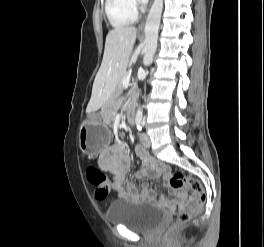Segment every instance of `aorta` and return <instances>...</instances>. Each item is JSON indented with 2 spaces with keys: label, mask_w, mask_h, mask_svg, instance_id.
<instances>
[{
  "label": "aorta",
  "mask_w": 264,
  "mask_h": 247,
  "mask_svg": "<svg viewBox=\"0 0 264 247\" xmlns=\"http://www.w3.org/2000/svg\"><path fill=\"white\" fill-rule=\"evenodd\" d=\"M163 12V0H154L145 24V46L143 49V64L149 66L153 61V56L157 48L158 30ZM143 112L141 107L136 112V120H141Z\"/></svg>",
  "instance_id": "obj_1"
}]
</instances>
